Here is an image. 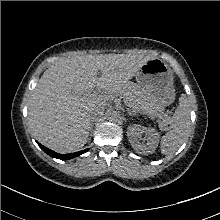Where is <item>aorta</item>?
<instances>
[{
	"label": "aorta",
	"instance_id": "aorta-1",
	"mask_svg": "<svg viewBox=\"0 0 220 220\" xmlns=\"http://www.w3.org/2000/svg\"><path fill=\"white\" fill-rule=\"evenodd\" d=\"M119 112L116 110H109L107 113V117L110 121H115L119 118Z\"/></svg>",
	"mask_w": 220,
	"mask_h": 220
}]
</instances>
